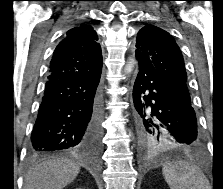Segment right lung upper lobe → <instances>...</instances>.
<instances>
[{
	"mask_svg": "<svg viewBox=\"0 0 223 189\" xmlns=\"http://www.w3.org/2000/svg\"><path fill=\"white\" fill-rule=\"evenodd\" d=\"M90 25L70 29L56 47L48 80L83 78L102 69L101 48Z\"/></svg>",
	"mask_w": 223,
	"mask_h": 189,
	"instance_id": "obj_1",
	"label": "right lung upper lobe"
}]
</instances>
